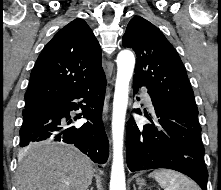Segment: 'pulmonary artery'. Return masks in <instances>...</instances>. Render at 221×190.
<instances>
[{"label": "pulmonary artery", "mask_w": 221, "mask_h": 190, "mask_svg": "<svg viewBox=\"0 0 221 190\" xmlns=\"http://www.w3.org/2000/svg\"><path fill=\"white\" fill-rule=\"evenodd\" d=\"M144 100L146 101V103H147L149 106L152 105L150 96H149L147 93L144 94Z\"/></svg>", "instance_id": "pulmonary-artery-1"}]
</instances>
